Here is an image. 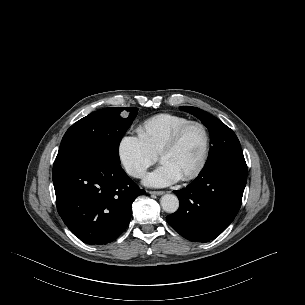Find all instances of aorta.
<instances>
[{"label":"aorta","mask_w":305,"mask_h":305,"mask_svg":"<svg viewBox=\"0 0 305 305\" xmlns=\"http://www.w3.org/2000/svg\"><path fill=\"white\" fill-rule=\"evenodd\" d=\"M160 204L167 213H174L179 208V200L174 194H165L161 197Z\"/></svg>","instance_id":"762f6f07"}]
</instances>
